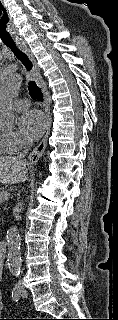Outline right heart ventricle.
<instances>
[{"mask_svg": "<svg viewBox=\"0 0 118 320\" xmlns=\"http://www.w3.org/2000/svg\"><path fill=\"white\" fill-rule=\"evenodd\" d=\"M2 153H4V151L1 149V147H0V154H2Z\"/></svg>", "mask_w": 118, "mask_h": 320, "instance_id": "e07e8e85", "label": "right heart ventricle"}]
</instances>
